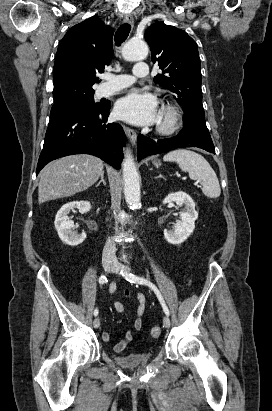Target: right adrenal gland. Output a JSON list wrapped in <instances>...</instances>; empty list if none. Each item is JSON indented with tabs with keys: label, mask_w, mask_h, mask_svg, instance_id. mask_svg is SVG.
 <instances>
[{
	"label": "right adrenal gland",
	"mask_w": 272,
	"mask_h": 411,
	"mask_svg": "<svg viewBox=\"0 0 272 411\" xmlns=\"http://www.w3.org/2000/svg\"><path fill=\"white\" fill-rule=\"evenodd\" d=\"M103 183L106 186V181L104 179V172L101 174V179L100 181L96 184V187L100 186V184Z\"/></svg>",
	"instance_id": "2a0ac1e0"
}]
</instances>
